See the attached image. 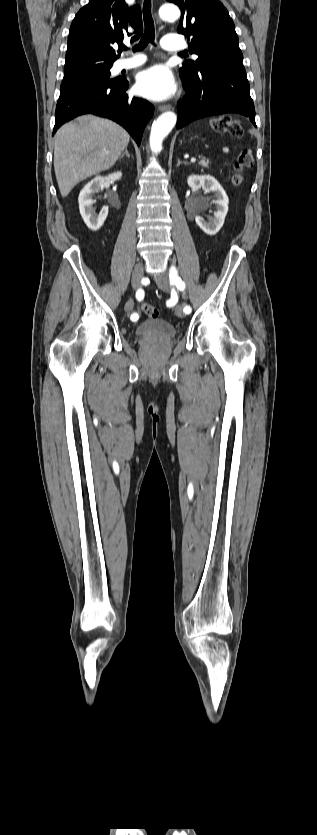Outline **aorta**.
<instances>
[{
	"mask_svg": "<svg viewBox=\"0 0 317 835\" xmlns=\"http://www.w3.org/2000/svg\"><path fill=\"white\" fill-rule=\"evenodd\" d=\"M160 16L163 20L175 19L180 16V10L173 4H165L160 8ZM177 121L176 115L165 112L152 124L150 132V147L155 153L162 150V143L165 137L173 129Z\"/></svg>",
	"mask_w": 317,
	"mask_h": 835,
	"instance_id": "762f6f07",
	"label": "aorta"
}]
</instances>
